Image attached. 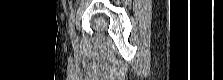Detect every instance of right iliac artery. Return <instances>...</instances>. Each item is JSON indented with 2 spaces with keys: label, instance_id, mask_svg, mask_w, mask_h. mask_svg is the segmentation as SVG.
<instances>
[{
  "label": "right iliac artery",
  "instance_id": "82829eb1",
  "mask_svg": "<svg viewBox=\"0 0 223 80\" xmlns=\"http://www.w3.org/2000/svg\"><path fill=\"white\" fill-rule=\"evenodd\" d=\"M69 33L72 40H74V13L72 12L69 20Z\"/></svg>",
  "mask_w": 223,
  "mask_h": 80
}]
</instances>
